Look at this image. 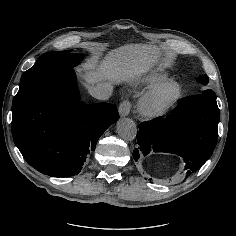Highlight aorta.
Listing matches in <instances>:
<instances>
[{"label":"aorta","instance_id":"obj_1","mask_svg":"<svg viewBox=\"0 0 236 236\" xmlns=\"http://www.w3.org/2000/svg\"><path fill=\"white\" fill-rule=\"evenodd\" d=\"M117 132L121 138L132 141L136 138L137 127L133 120L123 118L117 122Z\"/></svg>","mask_w":236,"mask_h":236}]
</instances>
